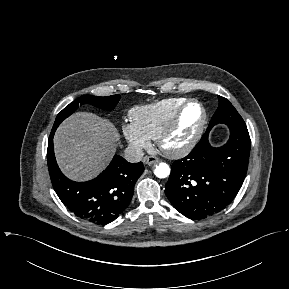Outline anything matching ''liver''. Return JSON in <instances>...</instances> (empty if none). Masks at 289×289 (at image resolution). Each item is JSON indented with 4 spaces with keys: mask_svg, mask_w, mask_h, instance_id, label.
Returning <instances> with one entry per match:
<instances>
[{
    "mask_svg": "<svg viewBox=\"0 0 289 289\" xmlns=\"http://www.w3.org/2000/svg\"><path fill=\"white\" fill-rule=\"evenodd\" d=\"M119 134L113 124L87 112H77L58 127L54 150L61 170L84 181L103 171L116 150Z\"/></svg>",
    "mask_w": 289,
    "mask_h": 289,
    "instance_id": "6515ba94",
    "label": "liver"
}]
</instances>
